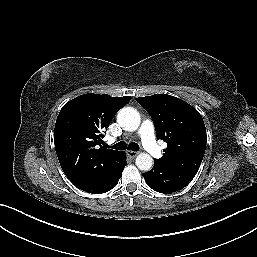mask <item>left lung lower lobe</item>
Here are the masks:
<instances>
[{
  "label": "left lung lower lobe",
  "mask_w": 257,
  "mask_h": 257,
  "mask_svg": "<svg viewBox=\"0 0 257 257\" xmlns=\"http://www.w3.org/2000/svg\"><path fill=\"white\" fill-rule=\"evenodd\" d=\"M196 175L195 172L178 166L164 164L154 159L153 168L143 173L147 185L160 193H172L186 187Z\"/></svg>",
  "instance_id": "0a47b994"
}]
</instances>
